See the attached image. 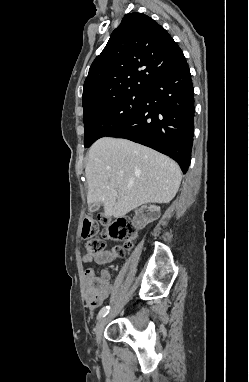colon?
Returning <instances> with one entry per match:
<instances>
[{
    "label": "colon",
    "instance_id": "5ec220e1",
    "mask_svg": "<svg viewBox=\"0 0 249 382\" xmlns=\"http://www.w3.org/2000/svg\"><path fill=\"white\" fill-rule=\"evenodd\" d=\"M101 223L105 226L103 233L104 240L122 242V246L116 250V255L119 257L122 256L125 250L130 248L137 236V224H134L133 221L129 219H112L109 217H102ZM98 226V221L94 216L90 214L85 215L81 234L83 238L87 239L86 250L88 254H98L104 249V240L94 238L98 231ZM86 273L91 275L94 279L98 277L92 269H87ZM95 287L97 289L94 296L96 299L103 297L109 291V286L106 282L95 283Z\"/></svg>",
    "mask_w": 249,
    "mask_h": 382
}]
</instances>
